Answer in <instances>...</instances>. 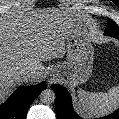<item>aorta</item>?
Returning <instances> with one entry per match:
<instances>
[{"label": "aorta", "instance_id": "aorta-1", "mask_svg": "<svg viewBox=\"0 0 119 119\" xmlns=\"http://www.w3.org/2000/svg\"><path fill=\"white\" fill-rule=\"evenodd\" d=\"M55 93L52 89H45L40 94V101L44 104H51L55 101Z\"/></svg>", "mask_w": 119, "mask_h": 119}]
</instances>
